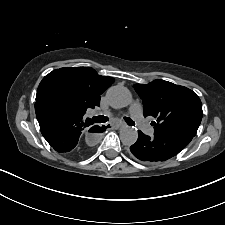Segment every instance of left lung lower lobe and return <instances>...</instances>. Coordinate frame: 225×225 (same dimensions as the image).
Wrapping results in <instances>:
<instances>
[{
	"instance_id": "0a47b994",
	"label": "left lung lower lobe",
	"mask_w": 225,
	"mask_h": 225,
	"mask_svg": "<svg viewBox=\"0 0 225 225\" xmlns=\"http://www.w3.org/2000/svg\"><path fill=\"white\" fill-rule=\"evenodd\" d=\"M193 137L189 134H154V137H149L138 131V139L130 151L145 163L166 161L183 150Z\"/></svg>"
}]
</instances>
